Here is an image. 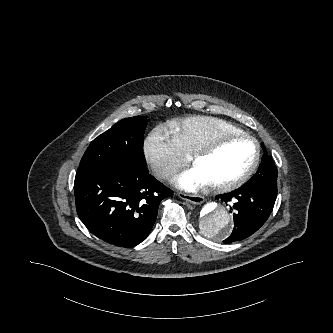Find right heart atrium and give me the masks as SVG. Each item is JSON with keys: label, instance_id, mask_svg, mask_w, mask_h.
<instances>
[{"label": "right heart atrium", "instance_id": "right-heart-atrium-1", "mask_svg": "<svg viewBox=\"0 0 333 333\" xmlns=\"http://www.w3.org/2000/svg\"><path fill=\"white\" fill-rule=\"evenodd\" d=\"M142 152L148 167L163 180L171 178L187 161L169 131L162 126L155 127L148 134Z\"/></svg>", "mask_w": 333, "mask_h": 333}]
</instances>
